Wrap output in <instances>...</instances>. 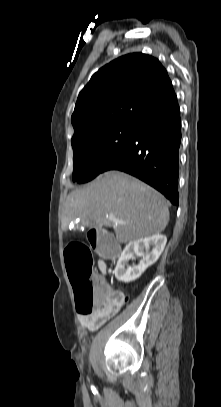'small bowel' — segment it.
<instances>
[{
  "label": "small bowel",
  "instance_id": "c3829d8e",
  "mask_svg": "<svg viewBox=\"0 0 221 407\" xmlns=\"http://www.w3.org/2000/svg\"><path fill=\"white\" fill-rule=\"evenodd\" d=\"M98 268L100 272L104 275L107 271L106 262L104 260H99ZM96 279L98 282L106 287L107 289L111 290V287L106 282L104 276L96 275ZM115 293H122L121 291L115 290ZM118 310L113 313H93L88 316H81L80 323L81 325L89 331H95L99 327H101L111 316H113Z\"/></svg>",
  "mask_w": 221,
  "mask_h": 407
}]
</instances>
